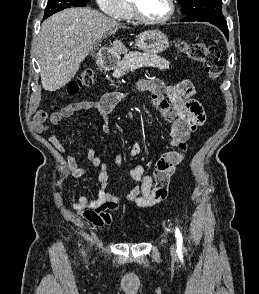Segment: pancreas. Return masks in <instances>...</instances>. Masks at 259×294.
<instances>
[{"instance_id":"obj_1","label":"pancreas","mask_w":259,"mask_h":294,"mask_svg":"<svg viewBox=\"0 0 259 294\" xmlns=\"http://www.w3.org/2000/svg\"><path fill=\"white\" fill-rule=\"evenodd\" d=\"M169 61L156 54L141 52H130L118 63L114 71V77L120 78L129 71H134L142 67H154L159 70L169 69Z\"/></svg>"}]
</instances>
